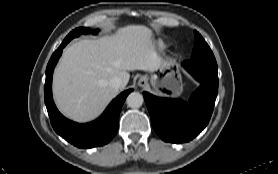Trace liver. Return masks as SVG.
Listing matches in <instances>:
<instances>
[{
  "label": "liver",
  "mask_w": 278,
  "mask_h": 174,
  "mask_svg": "<svg viewBox=\"0 0 278 174\" xmlns=\"http://www.w3.org/2000/svg\"><path fill=\"white\" fill-rule=\"evenodd\" d=\"M162 63L152 31L144 25H128L111 36L81 40L64 51L55 69V103L73 121H92L119 93L109 85L112 78L119 77L124 88L128 71L155 72Z\"/></svg>",
  "instance_id": "obj_1"
}]
</instances>
